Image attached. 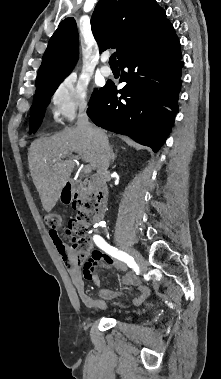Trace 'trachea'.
I'll return each mask as SVG.
<instances>
[{"label": "trachea", "mask_w": 221, "mask_h": 379, "mask_svg": "<svg viewBox=\"0 0 221 379\" xmlns=\"http://www.w3.org/2000/svg\"><path fill=\"white\" fill-rule=\"evenodd\" d=\"M109 64H110V65H117V62H116V55H115V53H113V54L110 56Z\"/></svg>", "instance_id": "3493384b"}]
</instances>
